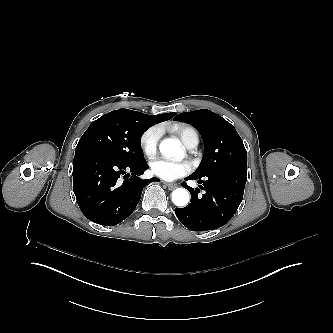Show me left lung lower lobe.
Returning <instances> with one entry per match:
<instances>
[{
  "instance_id": "obj_1",
  "label": "left lung lower lobe",
  "mask_w": 333,
  "mask_h": 333,
  "mask_svg": "<svg viewBox=\"0 0 333 333\" xmlns=\"http://www.w3.org/2000/svg\"><path fill=\"white\" fill-rule=\"evenodd\" d=\"M246 176L247 169L244 168H227L205 181L190 175L185 181L198 180V183H203L199 188L206 193L200 198L199 188H191L183 182L182 186L191 193V203L184 208H175L177 218L192 231L217 229L225 225L243 199Z\"/></svg>"
}]
</instances>
